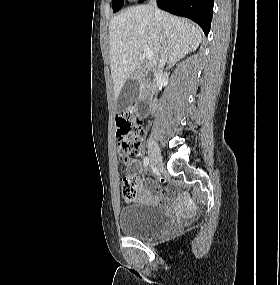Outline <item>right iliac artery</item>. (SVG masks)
Returning <instances> with one entry per match:
<instances>
[{"instance_id": "1", "label": "right iliac artery", "mask_w": 280, "mask_h": 285, "mask_svg": "<svg viewBox=\"0 0 280 285\" xmlns=\"http://www.w3.org/2000/svg\"><path fill=\"white\" fill-rule=\"evenodd\" d=\"M148 165H149V158H148V157H145V158H144V166H145V167H148Z\"/></svg>"}]
</instances>
